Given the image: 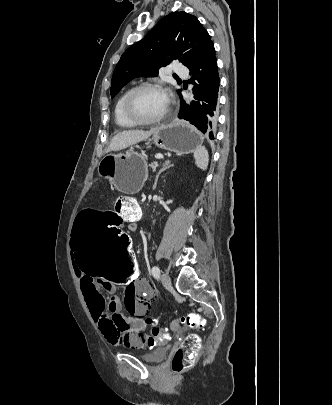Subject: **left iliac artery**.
Listing matches in <instances>:
<instances>
[{
    "label": "left iliac artery",
    "mask_w": 332,
    "mask_h": 405,
    "mask_svg": "<svg viewBox=\"0 0 332 405\" xmlns=\"http://www.w3.org/2000/svg\"><path fill=\"white\" fill-rule=\"evenodd\" d=\"M151 272H152V275H153L154 278L159 279V277H160V268L158 266H153Z\"/></svg>",
    "instance_id": "obj_1"
}]
</instances>
